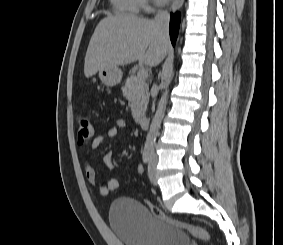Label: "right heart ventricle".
<instances>
[{
  "label": "right heart ventricle",
  "mask_w": 283,
  "mask_h": 245,
  "mask_svg": "<svg viewBox=\"0 0 283 245\" xmlns=\"http://www.w3.org/2000/svg\"><path fill=\"white\" fill-rule=\"evenodd\" d=\"M113 8L121 14L136 15L141 6L140 0H111Z\"/></svg>",
  "instance_id": "obj_1"
}]
</instances>
